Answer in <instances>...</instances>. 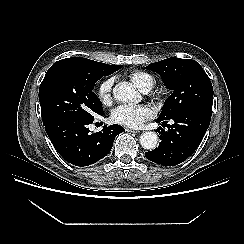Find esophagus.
I'll return each mask as SVG.
<instances>
[{
	"instance_id": "34e87169",
	"label": "esophagus",
	"mask_w": 244,
	"mask_h": 244,
	"mask_svg": "<svg viewBox=\"0 0 244 244\" xmlns=\"http://www.w3.org/2000/svg\"><path fill=\"white\" fill-rule=\"evenodd\" d=\"M126 131H128V132H131V133H139V131H137V130H133V129H126Z\"/></svg>"
}]
</instances>
